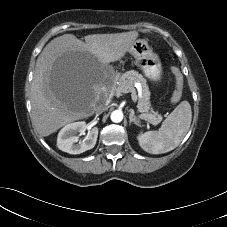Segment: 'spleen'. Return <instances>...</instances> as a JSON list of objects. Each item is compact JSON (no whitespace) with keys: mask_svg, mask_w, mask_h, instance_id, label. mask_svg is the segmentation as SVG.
I'll list each match as a JSON object with an SVG mask.
<instances>
[{"mask_svg":"<svg viewBox=\"0 0 227 227\" xmlns=\"http://www.w3.org/2000/svg\"><path fill=\"white\" fill-rule=\"evenodd\" d=\"M192 120L191 106L182 101L163 121L159 130L138 136L140 147L151 154H162L175 149L185 137Z\"/></svg>","mask_w":227,"mask_h":227,"instance_id":"obj_1","label":"spleen"}]
</instances>
